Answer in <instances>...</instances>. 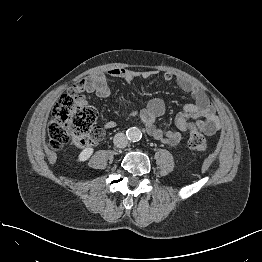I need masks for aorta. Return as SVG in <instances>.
Instances as JSON below:
<instances>
[{
  "label": "aorta",
  "mask_w": 262,
  "mask_h": 262,
  "mask_svg": "<svg viewBox=\"0 0 262 262\" xmlns=\"http://www.w3.org/2000/svg\"><path fill=\"white\" fill-rule=\"evenodd\" d=\"M127 137L129 140L136 142L142 138V132L137 127H131L127 130Z\"/></svg>",
  "instance_id": "762f6f07"
}]
</instances>
